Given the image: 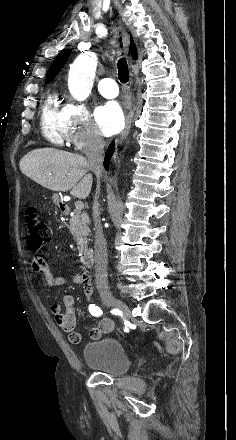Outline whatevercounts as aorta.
Listing matches in <instances>:
<instances>
[{
  "mask_svg": "<svg viewBox=\"0 0 236 440\" xmlns=\"http://www.w3.org/2000/svg\"><path fill=\"white\" fill-rule=\"evenodd\" d=\"M96 67V56L89 52L79 55L71 65L68 88L75 100L84 101L91 93Z\"/></svg>",
  "mask_w": 236,
  "mask_h": 440,
  "instance_id": "762f6f07",
  "label": "aorta"
}]
</instances>
